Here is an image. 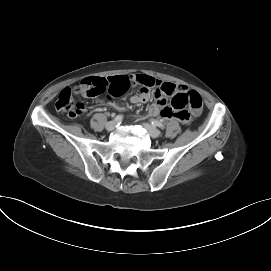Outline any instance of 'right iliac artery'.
Listing matches in <instances>:
<instances>
[{
  "instance_id": "82829eb1",
  "label": "right iliac artery",
  "mask_w": 271,
  "mask_h": 271,
  "mask_svg": "<svg viewBox=\"0 0 271 271\" xmlns=\"http://www.w3.org/2000/svg\"><path fill=\"white\" fill-rule=\"evenodd\" d=\"M122 119H123V116H122V115H117V116L114 118V121L118 123V122H121Z\"/></svg>"
}]
</instances>
